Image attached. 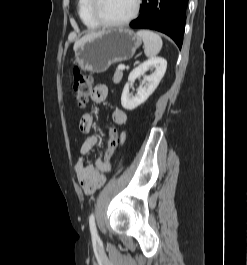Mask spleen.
Masks as SVG:
<instances>
[{"instance_id": "obj_1", "label": "spleen", "mask_w": 247, "mask_h": 265, "mask_svg": "<svg viewBox=\"0 0 247 265\" xmlns=\"http://www.w3.org/2000/svg\"><path fill=\"white\" fill-rule=\"evenodd\" d=\"M136 35L143 40L146 57L153 58L160 52L163 42L157 33L149 30H140Z\"/></svg>"}]
</instances>
